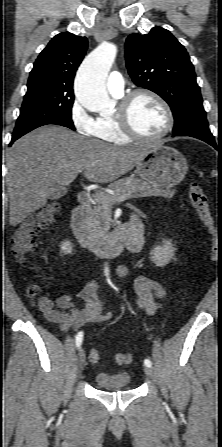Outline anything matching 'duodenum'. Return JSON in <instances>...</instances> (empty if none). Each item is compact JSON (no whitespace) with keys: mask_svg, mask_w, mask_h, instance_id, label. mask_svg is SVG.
<instances>
[{"mask_svg":"<svg viewBox=\"0 0 222 447\" xmlns=\"http://www.w3.org/2000/svg\"><path fill=\"white\" fill-rule=\"evenodd\" d=\"M91 201V196L81 191L78 194V206L72 212L71 229L78 244L105 257H115L124 249L134 253L140 252L143 245V230L142 223L136 215L118 225L104 238L97 239L90 236L86 220Z\"/></svg>","mask_w":222,"mask_h":447,"instance_id":"1","label":"duodenum"}]
</instances>
